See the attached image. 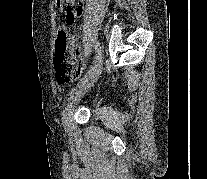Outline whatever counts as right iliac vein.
I'll return each mask as SVG.
<instances>
[{
  "label": "right iliac vein",
  "mask_w": 207,
  "mask_h": 179,
  "mask_svg": "<svg viewBox=\"0 0 207 179\" xmlns=\"http://www.w3.org/2000/svg\"><path fill=\"white\" fill-rule=\"evenodd\" d=\"M102 69V59H100L97 63L96 70L88 77L87 81L81 85L79 89L76 90L71 96L67 106L63 111L62 116L63 125L66 129H69L70 127V118L74 108L81 100V98L85 95V93L97 82L98 78L101 75Z\"/></svg>",
  "instance_id": "right-iliac-vein-1"
}]
</instances>
